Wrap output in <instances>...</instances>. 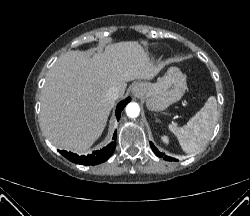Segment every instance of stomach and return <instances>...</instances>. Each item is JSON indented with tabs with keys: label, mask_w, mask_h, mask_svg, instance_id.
I'll return each instance as SVG.
<instances>
[{
	"label": "stomach",
	"mask_w": 250,
	"mask_h": 216,
	"mask_svg": "<svg viewBox=\"0 0 250 216\" xmlns=\"http://www.w3.org/2000/svg\"><path fill=\"white\" fill-rule=\"evenodd\" d=\"M138 84L142 87L138 96L145 100L149 110L157 112L179 101L187 89L186 76L177 67H170L156 83Z\"/></svg>",
	"instance_id": "0dacf381"
}]
</instances>
